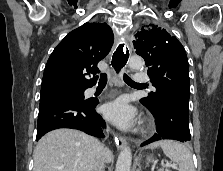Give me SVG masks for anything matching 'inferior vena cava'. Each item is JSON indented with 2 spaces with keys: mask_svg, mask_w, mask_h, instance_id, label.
Masks as SVG:
<instances>
[{
  "mask_svg": "<svg viewBox=\"0 0 223 171\" xmlns=\"http://www.w3.org/2000/svg\"><path fill=\"white\" fill-rule=\"evenodd\" d=\"M104 149L105 148L102 144L98 146L97 155L93 166V171H103L106 161L104 155Z\"/></svg>",
  "mask_w": 223,
  "mask_h": 171,
  "instance_id": "1",
  "label": "inferior vena cava"
}]
</instances>
